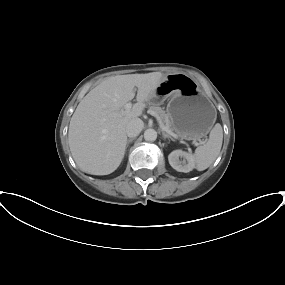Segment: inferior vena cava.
Instances as JSON below:
<instances>
[{"instance_id": "1", "label": "inferior vena cava", "mask_w": 285, "mask_h": 285, "mask_svg": "<svg viewBox=\"0 0 285 285\" xmlns=\"http://www.w3.org/2000/svg\"><path fill=\"white\" fill-rule=\"evenodd\" d=\"M144 123L141 119H132L126 126V134L128 137L133 138L139 135L142 131Z\"/></svg>"}]
</instances>
